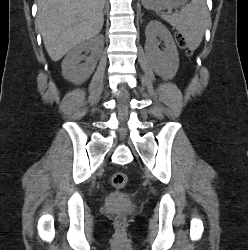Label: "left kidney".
<instances>
[{
  "label": "left kidney",
  "mask_w": 248,
  "mask_h": 250,
  "mask_svg": "<svg viewBox=\"0 0 248 250\" xmlns=\"http://www.w3.org/2000/svg\"><path fill=\"white\" fill-rule=\"evenodd\" d=\"M146 44L154 72L163 79H172L179 68V56L174 39L168 29L158 21H150L145 29ZM157 38L164 41L165 51H160Z\"/></svg>",
  "instance_id": "obj_1"
}]
</instances>
